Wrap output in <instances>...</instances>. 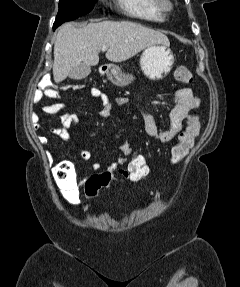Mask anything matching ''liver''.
<instances>
[{
    "label": "liver",
    "instance_id": "6515ba94",
    "mask_svg": "<svg viewBox=\"0 0 240 287\" xmlns=\"http://www.w3.org/2000/svg\"><path fill=\"white\" fill-rule=\"evenodd\" d=\"M153 44L169 45V39L160 31L131 21H102L81 28L66 23L60 27L54 44V81L65 80L80 63L97 65L103 46L108 47L109 61L122 62Z\"/></svg>",
    "mask_w": 240,
    "mask_h": 287
}]
</instances>
